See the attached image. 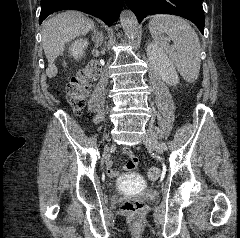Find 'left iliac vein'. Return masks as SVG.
I'll use <instances>...</instances> for the list:
<instances>
[{"label": "left iliac vein", "mask_w": 240, "mask_h": 238, "mask_svg": "<svg viewBox=\"0 0 240 238\" xmlns=\"http://www.w3.org/2000/svg\"><path fill=\"white\" fill-rule=\"evenodd\" d=\"M144 144L158 153H163L166 150V145L165 146H160L159 141L157 139V136L155 132L152 129H147L145 136H144Z\"/></svg>", "instance_id": "left-iliac-vein-1"}]
</instances>
